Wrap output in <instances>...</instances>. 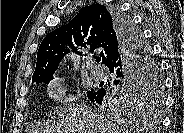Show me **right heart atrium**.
<instances>
[{"instance_id": "obj_1", "label": "right heart atrium", "mask_w": 184, "mask_h": 133, "mask_svg": "<svg viewBox=\"0 0 184 133\" xmlns=\"http://www.w3.org/2000/svg\"><path fill=\"white\" fill-rule=\"evenodd\" d=\"M68 94L67 84L63 79H54L48 85V95L56 102L63 101Z\"/></svg>"}]
</instances>
